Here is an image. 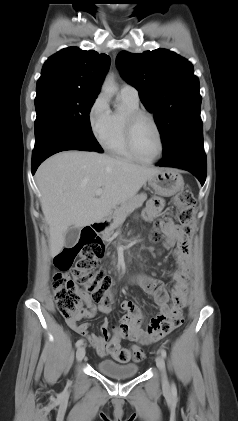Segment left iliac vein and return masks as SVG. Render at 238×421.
Instances as JSON below:
<instances>
[{"instance_id": "1", "label": "left iliac vein", "mask_w": 238, "mask_h": 421, "mask_svg": "<svg viewBox=\"0 0 238 421\" xmlns=\"http://www.w3.org/2000/svg\"><path fill=\"white\" fill-rule=\"evenodd\" d=\"M156 365L159 368V370L161 371L163 384L165 386H167L168 385V379H167V375H166L165 361H164V358L162 356H157Z\"/></svg>"}]
</instances>
